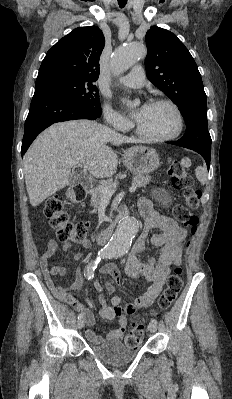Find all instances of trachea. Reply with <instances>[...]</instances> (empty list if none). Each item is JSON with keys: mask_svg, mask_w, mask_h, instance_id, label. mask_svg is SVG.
I'll return each instance as SVG.
<instances>
[{"mask_svg": "<svg viewBox=\"0 0 232 399\" xmlns=\"http://www.w3.org/2000/svg\"><path fill=\"white\" fill-rule=\"evenodd\" d=\"M118 4H119L120 8H123L127 4V0H118Z\"/></svg>", "mask_w": 232, "mask_h": 399, "instance_id": "1", "label": "trachea"}]
</instances>
